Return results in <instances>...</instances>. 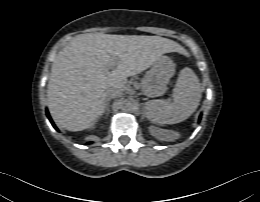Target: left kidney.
Returning a JSON list of instances; mask_svg holds the SVG:
<instances>
[{
  "mask_svg": "<svg viewBox=\"0 0 260 202\" xmlns=\"http://www.w3.org/2000/svg\"><path fill=\"white\" fill-rule=\"evenodd\" d=\"M149 131H150V133H151L152 135H154V136H156V137H158V136H160V135L166 133L165 131H162V130H160V129H157V128L153 127V126H151V127L149 128Z\"/></svg>",
  "mask_w": 260,
  "mask_h": 202,
  "instance_id": "left-kidney-1",
  "label": "left kidney"
}]
</instances>
